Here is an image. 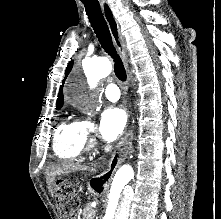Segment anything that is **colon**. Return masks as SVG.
<instances>
[{
    "label": "colon",
    "instance_id": "1",
    "mask_svg": "<svg viewBox=\"0 0 221 219\" xmlns=\"http://www.w3.org/2000/svg\"><path fill=\"white\" fill-rule=\"evenodd\" d=\"M60 192L62 193L64 199H67L71 203V207L75 205L78 201L77 193L67 185H61Z\"/></svg>",
    "mask_w": 221,
    "mask_h": 219
}]
</instances>
